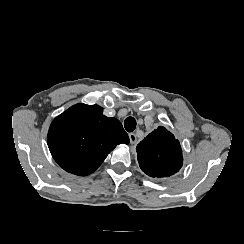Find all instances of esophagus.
I'll list each match as a JSON object with an SVG mask.
<instances>
[{"mask_svg": "<svg viewBox=\"0 0 244 244\" xmlns=\"http://www.w3.org/2000/svg\"><path fill=\"white\" fill-rule=\"evenodd\" d=\"M128 136H129V139H130V143L131 144L136 143L137 137H136L135 133H129Z\"/></svg>", "mask_w": 244, "mask_h": 244, "instance_id": "obj_1", "label": "esophagus"}]
</instances>
